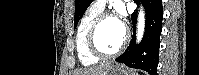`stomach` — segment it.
Masks as SVG:
<instances>
[{"label":"stomach","mask_w":199,"mask_h":75,"mask_svg":"<svg viewBox=\"0 0 199 75\" xmlns=\"http://www.w3.org/2000/svg\"><path fill=\"white\" fill-rule=\"evenodd\" d=\"M106 75H129L127 70L120 64H113L110 66ZM135 75V74H133ZM137 75V74H136Z\"/></svg>","instance_id":"obj_1"}]
</instances>
